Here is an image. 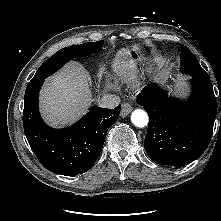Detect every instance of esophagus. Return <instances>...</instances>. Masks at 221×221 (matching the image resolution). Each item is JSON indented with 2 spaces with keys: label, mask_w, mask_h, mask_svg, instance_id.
<instances>
[{
  "label": "esophagus",
  "mask_w": 221,
  "mask_h": 221,
  "mask_svg": "<svg viewBox=\"0 0 221 221\" xmlns=\"http://www.w3.org/2000/svg\"><path fill=\"white\" fill-rule=\"evenodd\" d=\"M132 111V106L130 103H123L121 110V117H126Z\"/></svg>",
  "instance_id": "34e87169"
}]
</instances>
